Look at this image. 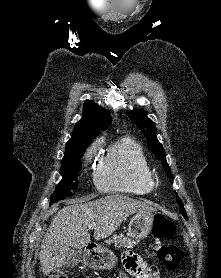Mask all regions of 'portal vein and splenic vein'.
Returning <instances> with one entry per match:
<instances>
[{
	"instance_id": "1",
	"label": "portal vein and splenic vein",
	"mask_w": 221,
	"mask_h": 278,
	"mask_svg": "<svg viewBox=\"0 0 221 278\" xmlns=\"http://www.w3.org/2000/svg\"><path fill=\"white\" fill-rule=\"evenodd\" d=\"M95 227H96V224H95V223H92V224H90V225L88 226L89 229H95Z\"/></svg>"
}]
</instances>
